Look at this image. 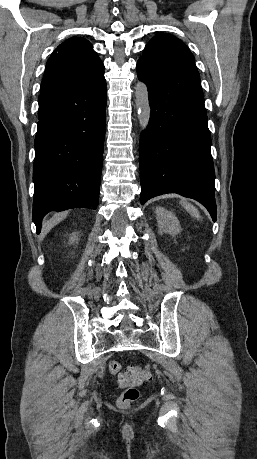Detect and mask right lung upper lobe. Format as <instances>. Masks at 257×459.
I'll use <instances>...</instances> for the list:
<instances>
[{
	"label": "right lung upper lobe",
	"mask_w": 257,
	"mask_h": 459,
	"mask_svg": "<svg viewBox=\"0 0 257 459\" xmlns=\"http://www.w3.org/2000/svg\"><path fill=\"white\" fill-rule=\"evenodd\" d=\"M104 75V65L88 40L73 37L60 44L46 64L40 95L77 87Z\"/></svg>",
	"instance_id": "1"
}]
</instances>
